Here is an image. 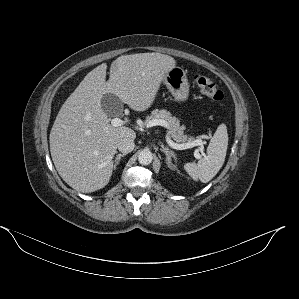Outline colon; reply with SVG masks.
<instances>
[{"instance_id":"obj_1","label":"colon","mask_w":299,"mask_h":299,"mask_svg":"<svg viewBox=\"0 0 299 299\" xmlns=\"http://www.w3.org/2000/svg\"><path fill=\"white\" fill-rule=\"evenodd\" d=\"M194 83L202 94L213 101H221L224 97L223 92L217 86L216 82L203 74L194 76Z\"/></svg>"}]
</instances>
